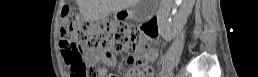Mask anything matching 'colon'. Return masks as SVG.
I'll return each mask as SVG.
<instances>
[{
  "label": "colon",
  "instance_id": "colon-1",
  "mask_svg": "<svg viewBox=\"0 0 258 77\" xmlns=\"http://www.w3.org/2000/svg\"><path fill=\"white\" fill-rule=\"evenodd\" d=\"M60 46L63 56L71 66L72 77H84L88 71L83 59L84 51L110 48L115 51H127L128 77H135L140 71L148 70L147 51L154 35L145 29L142 33L128 25L111 20H102L95 24L85 21L70 8L61 10Z\"/></svg>",
  "mask_w": 258,
  "mask_h": 77
}]
</instances>
